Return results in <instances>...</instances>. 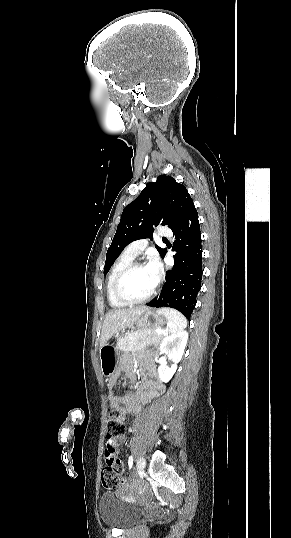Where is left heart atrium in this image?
I'll return each instance as SVG.
<instances>
[{
    "label": "left heart atrium",
    "instance_id": "left-heart-atrium-1",
    "mask_svg": "<svg viewBox=\"0 0 291 538\" xmlns=\"http://www.w3.org/2000/svg\"><path fill=\"white\" fill-rule=\"evenodd\" d=\"M155 281H158L162 273V267L159 259L156 256H152L146 266Z\"/></svg>",
    "mask_w": 291,
    "mask_h": 538
}]
</instances>
